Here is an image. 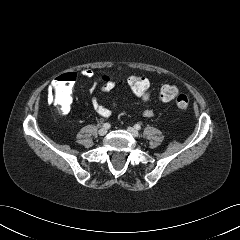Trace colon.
Returning <instances> with one entry per match:
<instances>
[{
	"mask_svg": "<svg viewBox=\"0 0 240 240\" xmlns=\"http://www.w3.org/2000/svg\"><path fill=\"white\" fill-rule=\"evenodd\" d=\"M75 81L74 73H66L56 78L53 83V103L62 113L68 112L71 106V90ZM127 90L136 98L148 101L154 95L150 80L141 74H131L126 80ZM161 102L175 101L176 106L186 110L190 106V99L174 84H164L156 91Z\"/></svg>",
	"mask_w": 240,
	"mask_h": 240,
	"instance_id": "5ec220e1",
	"label": "colon"
}]
</instances>
